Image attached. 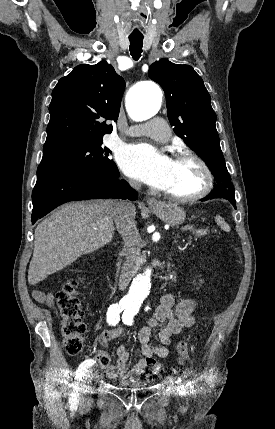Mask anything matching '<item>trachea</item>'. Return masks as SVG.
<instances>
[{
	"label": "trachea",
	"mask_w": 275,
	"mask_h": 429,
	"mask_svg": "<svg viewBox=\"0 0 275 429\" xmlns=\"http://www.w3.org/2000/svg\"><path fill=\"white\" fill-rule=\"evenodd\" d=\"M130 54L134 60H138L142 53L143 37H129Z\"/></svg>",
	"instance_id": "1"
}]
</instances>
